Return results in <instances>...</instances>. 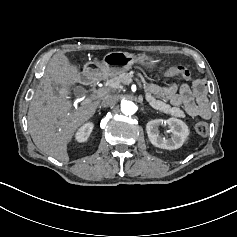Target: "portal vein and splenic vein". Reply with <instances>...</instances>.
<instances>
[{
  "mask_svg": "<svg viewBox=\"0 0 237 237\" xmlns=\"http://www.w3.org/2000/svg\"><path fill=\"white\" fill-rule=\"evenodd\" d=\"M132 78L130 77L128 80H124L122 83L124 84V85H129L131 82H132Z\"/></svg>",
  "mask_w": 237,
  "mask_h": 237,
  "instance_id": "obj_1",
  "label": "portal vein and splenic vein"
}]
</instances>
